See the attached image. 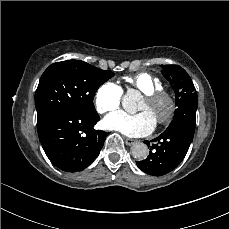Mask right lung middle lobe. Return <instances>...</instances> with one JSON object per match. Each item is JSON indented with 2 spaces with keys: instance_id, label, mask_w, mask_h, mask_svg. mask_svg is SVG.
Listing matches in <instances>:
<instances>
[{
  "instance_id": "dd1d6c3e",
  "label": "right lung middle lobe",
  "mask_w": 229,
  "mask_h": 229,
  "mask_svg": "<svg viewBox=\"0 0 229 229\" xmlns=\"http://www.w3.org/2000/svg\"><path fill=\"white\" fill-rule=\"evenodd\" d=\"M114 76L84 61L67 60L51 64L42 74L35 92L37 129L62 111L97 116L92 103L97 89Z\"/></svg>"
}]
</instances>
